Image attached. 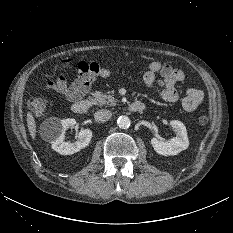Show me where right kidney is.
I'll return each instance as SVG.
<instances>
[{
	"label": "right kidney",
	"instance_id": "obj_1",
	"mask_svg": "<svg viewBox=\"0 0 233 233\" xmlns=\"http://www.w3.org/2000/svg\"><path fill=\"white\" fill-rule=\"evenodd\" d=\"M76 124L75 119L49 118L43 123V137L52 144V149L63 155H70L85 148L91 138L92 131L81 129L75 143L65 142V131Z\"/></svg>",
	"mask_w": 233,
	"mask_h": 233
}]
</instances>
